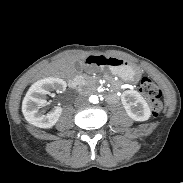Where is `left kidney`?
I'll return each mask as SVG.
<instances>
[{
	"label": "left kidney",
	"instance_id": "obj_1",
	"mask_svg": "<svg viewBox=\"0 0 183 183\" xmlns=\"http://www.w3.org/2000/svg\"><path fill=\"white\" fill-rule=\"evenodd\" d=\"M121 101L128 116L134 121H146L151 116V110L143 96L135 90L124 91Z\"/></svg>",
	"mask_w": 183,
	"mask_h": 183
}]
</instances>
